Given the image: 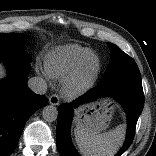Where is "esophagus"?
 Masks as SVG:
<instances>
[{
  "mask_svg": "<svg viewBox=\"0 0 156 156\" xmlns=\"http://www.w3.org/2000/svg\"><path fill=\"white\" fill-rule=\"evenodd\" d=\"M49 103L54 106H58L60 103L59 96L57 94H53L49 97Z\"/></svg>",
  "mask_w": 156,
  "mask_h": 156,
  "instance_id": "esophagus-1",
  "label": "esophagus"
}]
</instances>
